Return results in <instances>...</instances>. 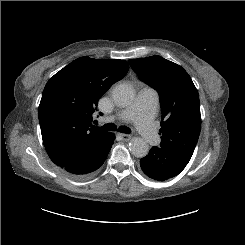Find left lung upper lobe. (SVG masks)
<instances>
[{"label":"left lung upper lobe","instance_id":"1","mask_svg":"<svg viewBox=\"0 0 245 245\" xmlns=\"http://www.w3.org/2000/svg\"><path fill=\"white\" fill-rule=\"evenodd\" d=\"M140 80L156 89L162 112L160 147L188 164L201 129L199 95L178 64L151 56L129 60Z\"/></svg>","mask_w":245,"mask_h":245}]
</instances>
